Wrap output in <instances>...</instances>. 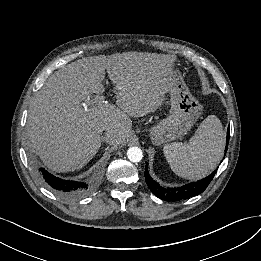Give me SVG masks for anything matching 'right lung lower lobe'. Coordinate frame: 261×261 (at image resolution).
Wrapping results in <instances>:
<instances>
[{
	"mask_svg": "<svg viewBox=\"0 0 261 261\" xmlns=\"http://www.w3.org/2000/svg\"><path fill=\"white\" fill-rule=\"evenodd\" d=\"M40 175L44 182L55 192L68 198H78L86 195L90 188L85 182L64 180L58 178L45 169L40 168Z\"/></svg>",
	"mask_w": 261,
	"mask_h": 261,
	"instance_id": "right-lung-lower-lobe-1",
	"label": "right lung lower lobe"
}]
</instances>
